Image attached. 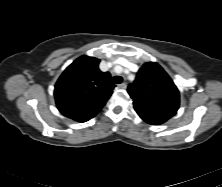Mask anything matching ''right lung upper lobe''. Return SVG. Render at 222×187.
I'll return each instance as SVG.
<instances>
[{"label": "right lung upper lobe", "instance_id": "cb5924a9", "mask_svg": "<svg viewBox=\"0 0 222 187\" xmlns=\"http://www.w3.org/2000/svg\"><path fill=\"white\" fill-rule=\"evenodd\" d=\"M100 60L81 56L58 79L54 96L58 110L78 122L93 118L105 105L115 87L109 72L98 68Z\"/></svg>", "mask_w": 222, "mask_h": 187}]
</instances>
